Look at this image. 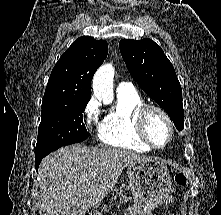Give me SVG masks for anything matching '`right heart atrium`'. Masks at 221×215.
Instances as JSON below:
<instances>
[{
    "instance_id": "1",
    "label": "right heart atrium",
    "mask_w": 221,
    "mask_h": 215,
    "mask_svg": "<svg viewBox=\"0 0 221 215\" xmlns=\"http://www.w3.org/2000/svg\"><path fill=\"white\" fill-rule=\"evenodd\" d=\"M100 104L97 98L92 97L85 105L83 114L86 124L89 126L92 121H96Z\"/></svg>"
}]
</instances>
